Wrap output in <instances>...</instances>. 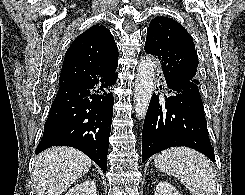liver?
Instances as JSON below:
<instances>
[{
	"mask_svg": "<svg viewBox=\"0 0 245 195\" xmlns=\"http://www.w3.org/2000/svg\"><path fill=\"white\" fill-rule=\"evenodd\" d=\"M92 161L71 147L47 149L36 157L34 188L37 195H60L91 168Z\"/></svg>",
	"mask_w": 245,
	"mask_h": 195,
	"instance_id": "6515ba94",
	"label": "liver"
}]
</instances>
